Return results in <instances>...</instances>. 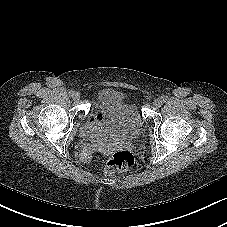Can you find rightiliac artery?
<instances>
[{"label":"right iliac artery","instance_id":"right-iliac-artery-1","mask_svg":"<svg viewBox=\"0 0 227 227\" xmlns=\"http://www.w3.org/2000/svg\"><path fill=\"white\" fill-rule=\"evenodd\" d=\"M74 93H75V92H74L73 90H70V91H69V95H70V96H73Z\"/></svg>","mask_w":227,"mask_h":227}]
</instances>
